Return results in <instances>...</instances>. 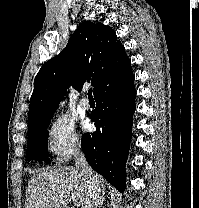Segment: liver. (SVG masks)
I'll return each mask as SVG.
<instances>
[{"instance_id":"obj_1","label":"liver","mask_w":199,"mask_h":208,"mask_svg":"<svg viewBox=\"0 0 199 208\" xmlns=\"http://www.w3.org/2000/svg\"><path fill=\"white\" fill-rule=\"evenodd\" d=\"M102 194L108 188L104 178L97 175ZM89 196L87 179L76 167L40 169L29 180L26 208H65L69 198L74 205L84 208Z\"/></svg>"}]
</instances>
